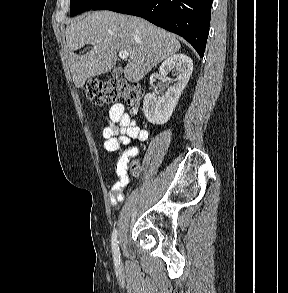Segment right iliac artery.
<instances>
[{
	"mask_svg": "<svg viewBox=\"0 0 288 293\" xmlns=\"http://www.w3.org/2000/svg\"><path fill=\"white\" fill-rule=\"evenodd\" d=\"M112 251H113V257L116 264H119L120 262V252H119V244L117 240V230L115 229L112 233Z\"/></svg>",
	"mask_w": 288,
	"mask_h": 293,
	"instance_id": "82829eb1",
	"label": "right iliac artery"
}]
</instances>
